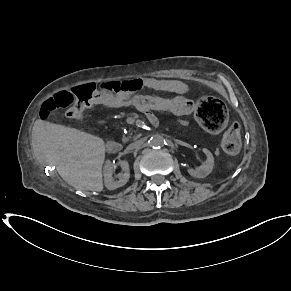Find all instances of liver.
I'll list each match as a JSON object with an SVG mask.
<instances>
[{
	"label": "liver",
	"instance_id": "liver-1",
	"mask_svg": "<svg viewBox=\"0 0 291 291\" xmlns=\"http://www.w3.org/2000/svg\"><path fill=\"white\" fill-rule=\"evenodd\" d=\"M32 148L37 159L55 164L61 177L73 187L96 192L104 189L106 148L102 138L38 119L32 129Z\"/></svg>",
	"mask_w": 291,
	"mask_h": 291
}]
</instances>
